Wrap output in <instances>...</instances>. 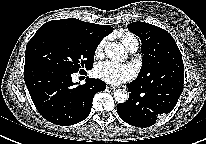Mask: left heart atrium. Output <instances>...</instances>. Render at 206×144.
Wrapping results in <instances>:
<instances>
[{"label": "left heart atrium", "mask_w": 206, "mask_h": 144, "mask_svg": "<svg viewBox=\"0 0 206 144\" xmlns=\"http://www.w3.org/2000/svg\"><path fill=\"white\" fill-rule=\"evenodd\" d=\"M95 74L106 83L117 85L132 79L135 70L130 64L105 61L96 67Z\"/></svg>", "instance_id": "1"}]
</instances>
